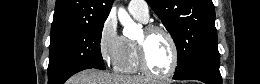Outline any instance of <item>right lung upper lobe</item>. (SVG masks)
Here are the masks:
<instances>
[{"instance_id": "cb5924a9", "label": "right lung upper lobe", "mask_w": 260, "mask_h": 84, "mask_svg": "<svg viewBox=\"0 0 260 84\" xmlns=\"http://www.w3.org/2000/svg\"><path fill=\"white\" fill-rule=\"evenodd\" d=\"M113 0H57L51 34L84 22L106 20Z\"/></svg>"}]
</instances>
